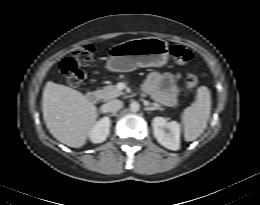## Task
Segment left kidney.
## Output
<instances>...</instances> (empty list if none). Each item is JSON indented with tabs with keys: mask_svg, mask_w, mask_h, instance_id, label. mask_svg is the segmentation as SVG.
<instances>
[{
	"mask_svg": "<svg viewBox=\"0 0 260 205\" xmlns=\"http://www.w3.org/2000/svg\"><path fill=\"white\" fill-rule=\"evenodd\" d=\"M152 126L154 136L162 146L174 151L180 148V125L178 122H168L164 117H155L152 120Z\"/></svg>",
	"mask_w": 260,
	"mask_h": 205,
	"instance_id": "5707ae66",
	"label": "left kidney"
}]
</instances>
